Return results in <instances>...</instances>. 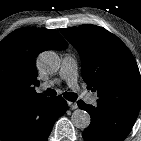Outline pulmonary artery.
Returning <instances> with one entry per match:
<instances>
[{
    "mask_svg": "<svg viewBox=\"0 0 141 141\" xmlns=\"http://www.w3.org/2000/svg\"><path fill=\"white\" fill-rule=\"evenodd\" d=\"M77 75V63L73 57L67 55L62 60V65L59 72L60 78L53 81L45 82L40 87L41 89H46L52 87L54 84L59 83L60 80H64L68 83L69 87L77 90ZM83 97L90 104L95 103L97 100V94L83 93Z\"/></svg>",
    "mask_w": 141,
    "mask_h": 141,
    "instance_id": "1",
    "label": "pulmonary artery"
}]
</instances>
